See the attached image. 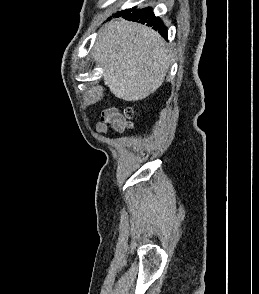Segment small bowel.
Returning <instances> with one entry per match:
<instances>
[{"label": "small bowel", "instance_id": "small-bowel-1", "mask_svg": "<svg viewBox=\"0 0 259 294\" xmlns=\"http://www.w3.org/2000/svg\"><path fill=\"white\" fill-rule=\"evenodd\" d=\"M125 119L116 108H109L102 112L100 120L96 123L99 133H106L109 129L122 131L125 128Z\"/></svg>", "mask_w": 259, "mask_h": 294}]
</instances>
